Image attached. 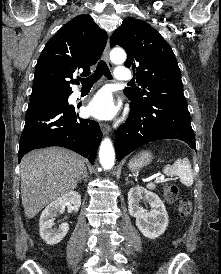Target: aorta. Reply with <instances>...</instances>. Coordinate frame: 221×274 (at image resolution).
Instances as JSON below:
<instances>
[{"mask_svg":"<svg viewBox=\"0 0 221 274\" xmlns=\"http://www.w3.org/2000/svg\"><path fill=\"white\" fill-rule=\"evenodd\" d=\"M110 59L116 64H122L126 60V53L121 48H115L110 53ZM99 160L104 169H110L115 162V152L112 142L109 138H105L100 145Z\"/></svg>","mask_w":221,"mask_h":274,"instance_id":"obj_1","label":"aorta"}]
</instances>
